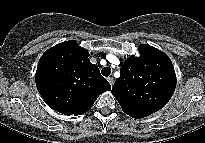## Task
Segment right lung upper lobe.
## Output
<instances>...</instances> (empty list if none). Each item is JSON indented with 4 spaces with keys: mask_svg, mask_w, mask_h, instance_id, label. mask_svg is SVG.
I'll list each match as a JSON object with an SVG mask.
<instances>
[{
    "mask_svg": "<svg viewBox=\"0 0 205 143\" xmlns=\"http://www.w3.org/2000/svg\"><path fill=\"white\" fill-rule=\"evenodd\" d=\"M88 56V51L75 41L57 44L41 56L36 86L53 110L68 116L84 114L100 94L111 90Z\"/></svg>",
    "mask_w": 205,
    "mask_h": 143,
    "instance_id": "obj_1",
    "label": "right lung upper lobe"
}]
</instances>
